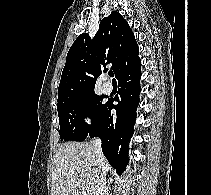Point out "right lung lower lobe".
Masks as SVG:
<instances>
[{"label": "right lung lower lobe", "instance_id": "1", "mask_svg": "<svg viewBox=\"0 0 211 195\" xmlns=\"http://www.w3.org/2000/svg\"><path fill=\"white\" fill-rule=\"evenodd\" d=\"M140 77L141 63L117 78L120 88L114 100L118 103L114 105V100L105 103L97 122L86 136V138L97 136L102 140V151L118 174L123 173L128 164V143L134 132ZM113 108L116 110V115L111 114Z\"/></svg>", "mask_w": 211, "mask_h": 195}]
</instances>
